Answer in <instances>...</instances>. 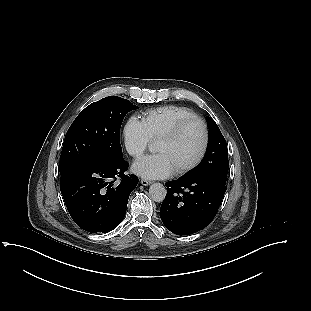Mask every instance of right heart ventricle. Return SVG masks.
<instances>
[{"label": "right heart ventricle", "mask_w": 311, "mask_h": 311, "mask_svg": "<svg viewBox=\"0 0 311 311\" xmlns=\"http://www.w3.org/2000/svg\"><path fill=\"white\" fill-rule=\"evenodd\" d=\"M192 117H196L192 110L182 106L168 105L145 111L142 115V122L150 140L154 141L181 120Z\"/></svg>", "instance_id": "right-heart-ventricle-1"}]
</instances>
